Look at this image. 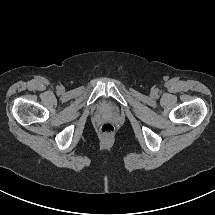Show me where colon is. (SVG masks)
Segmentation results:
<instances>
[{"label":"colon","instance_id":"colon-1","mask_svg":"<svg viewBox=\"0 0 215 215\" xmlns=\"http://www.w3.org/2000/svg\"><path fill=\"white\" fill-rule=\"evenodd\" d=\"M114 130H115V128L111 123H104L101 126V132L107 136L113 134Z\"/></svg>","mask_w":215,"mask_h":215}]
</instances>
